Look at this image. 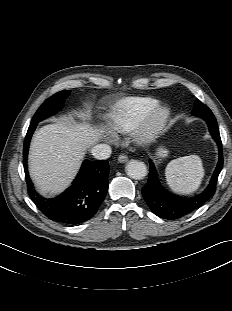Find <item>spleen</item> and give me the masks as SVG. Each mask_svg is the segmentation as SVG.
<instances>
[{
	"mask_svg": "<svg viewBox=\"0 0 232 311\" xmlns=\"http://www.w3.org/2000/svg\"><path fill=\"white\" fill-rule=\"evenodd\" d=\"M167 184L180 194L196 191L204 177L202 160L197 155L180 157L168 163L165 169Z\"/></svg>",
	"mask_w": 232,
	"mask_h": 311,
	"instance_id": "3e777b00",
	"label": "spleen"
}]
</instances>
